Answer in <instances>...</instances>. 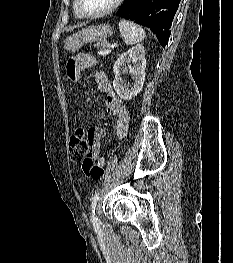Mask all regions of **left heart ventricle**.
Returning a JSON list of instances; mask_svg holds the SVG:
<instances>
[{
    "mask_svg": "<svg viewBox=\"0 0 233 263\" xmlns=\"http://www.w3.org/2000/svg\"><path fill=\"white\" fill-rule=\"evenodd\" d=\"M114 0H81L82 9L89 14L98 13L108 8Z\"/></svg>",
    "mask_w": 233,
    "mask_h": 263,
    "instance_id": "b2bd125f",
    "label": "left heart ventricle"
}]
</instances>
